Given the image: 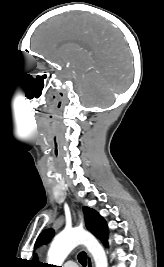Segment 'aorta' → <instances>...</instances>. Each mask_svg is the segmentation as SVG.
I'll return each mask as SVG.
<instances>
[{
  "mask_svg": "<svg viewBox=\"0 0 164 267\" xmlns=\"http://www.w3.org/2000/svg\"><path fill=\"white\" fill-rule=\"evenodd\" d=\"M84 245L93 256L95 267H108L107 256L104 248L90 233L71 229L58 234L48 251V262L60 266L69 253L78 245Z\"/></svg>",
  "mask_w": 164,
  "mask_h": 267,
  "instance_id": "aorta-1",
  "label": "aorta"
}]
</instances>
